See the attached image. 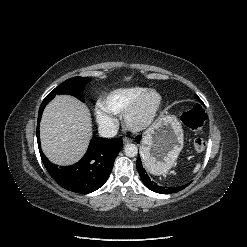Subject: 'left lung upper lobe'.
<instances>
[{
    "label": "left lung upper lobe",
    "mask_w": 247,
    "mask_h": 247,
    "mask_svg": "<svg viewBox=\"0 0 247 247\" xmlns=\"http://www.w3.org/2000/svg\"><path fill=\"white\" fill-rule=\"evenodd\" d=\"M196 98H197L198 101H201L200 98H199L198 96H196Z\"/></svg>",
    "instance_id": "left-lung-upper-lobe-1"
}]
</instances>
